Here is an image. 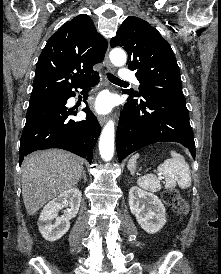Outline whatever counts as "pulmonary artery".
<instances>
[{
	"mask_svg": "<svg viewBox=\"0 0 221 274\" xmlns=\"http://www.w3.org/2000/svg\"><path fill=\"white\" fill-rule=\"evenodd\" d=\"M119 78L123 81H134L136 82V77L134 72L127 68H123L119 72Z\"/></svg>",
	"mask_w": 221,
	"mask_h": 274,
	"instance_id": "e3ab8cb5",
	"label": "pulmonary artery"
}]
</instances>
